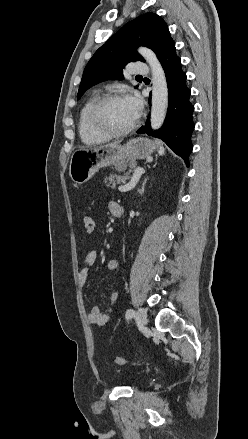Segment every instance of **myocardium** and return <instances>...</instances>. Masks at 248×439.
Returning a JSON list of instances; mask_svg holds the SVG:
<instances>
[{
  "instance_id": "obj_1",
  "label": "myocardium",
  "mask_w": 248,
  "mask_h": 439,
  "mask_svg": "<svg viewBox=\"0 0 248 439\" xmlns=\"http://www.w3.org/2000/svg\"><path fill=\"white\" fill-rule=\"evenodd\" d=\"M120 99H123V97L120 94L114 93L103 95L96 100L89 112V122L95 131L108 137H122L132 133L137 128L139 124L138 116L129 127L122 130L111 129L105 124L102 118L104 108L110 102Z\"/></svg>"
}]
</instances>
